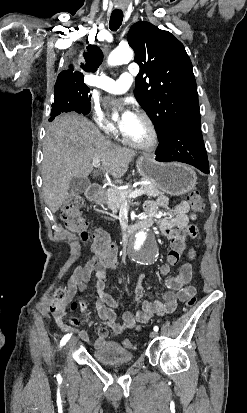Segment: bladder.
<instances>
[{
	"label": "bladder",
	"instance_id": "obj_1",
	"mask_svg": "<svg viewBox=\"0 0 247 413\" xmlns=\"http://www.w3.org/2000/svg\"><path fill=\"white\" fill-rule=\"evenodd\" d=\"M93 357L96 361L103 363H117V362H130L134 360V354L128 349H124L120 343L106 342L104 346L95 350Z\"/></svg>",
	"mask_w": 247,
	"mask_h": 413
}]
</instances>
